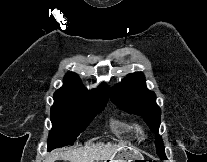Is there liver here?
Returning <instances> with one entry per match:
<instances>
[{"label":"liver","instance_id":"1","mask_svg":"<svg viewBox=\"0 0 207 162\" xmlns=\"http://www.w3.org/2000/svg\"><path fill=\"white\" fill-rule=\"evenodd\" d=\"M123 146L122 144L115 143H98L66 151H53L46 158L45 162H55L56 160H65L69 162H98L99 160H110Z\"/></svg>","mask_w":207,"mask_h":162}]
</instances>
